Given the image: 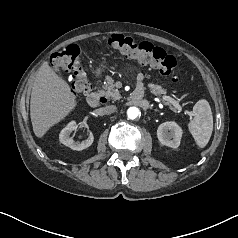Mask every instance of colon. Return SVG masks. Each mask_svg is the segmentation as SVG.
<instances>
[{
    "instance_id": "colon-1",
    "label": "colon",
    "mask_w": 238,
    "mask_h": 238,
    "mask_svg": "<svg viewBox=\"0 0 238 238\" xmlns=\"http://www.w3.org/2000/svg\"><path fill=\"white\" fill-rule=\"evenodd\" d=\"M104 45L150 66L162 75L171 76L173 81H177L184 74L173 56L149 42H137L132 37L113 34L104 40ZM50 61L56 69L70 74L71 91L74 95L79 96L90 91L91 86L82 66L81 52L76 45H69L57 51Z\"/></svg>"
}]
</instances>
